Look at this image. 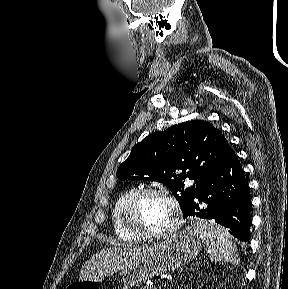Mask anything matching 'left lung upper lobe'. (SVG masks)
Here are the masks:
<instances>
[{
    "instance_id": "left-lung-upper-lobe-1",
    "label": "left lung upper lobe",
    "mask_w": 288,
    "mask_h": 289,
    "mask_svg": "<svg viewBox=\"0 0 288 289\" xmlns=\"http://www.w3.org/2000/svg\"><path fill=\"white\" fill-rule=\"evenodd\" d=\"M229 148L225 136L209 122L194 120L149 134L118 168L117 177L164 183L182 212ZM179 170L182 172L180 173ZM186 179H193L188 186Z\"/></svg>"
}]
</instances>
